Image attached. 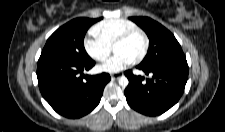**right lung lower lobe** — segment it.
I'll return each mask as SVG.
<instances>
[{"mask_svg":"<svg viewBox=\"0 0 225 132\" xmlns=\"http://www.w3.org/2000/svg\"><path fill=\"white\" fill-rule=\"evenodd\" d=\"M95 65L93 60L76 63L55 58H39L38 85L42 96L59 114L79 118L92 111L100 102L107 73L84 75Z\"/></svg>","mask_w":225,"mask_h":132,"instance_id":"obj_1","label":"right lung lower lobe"}]
</instances>
